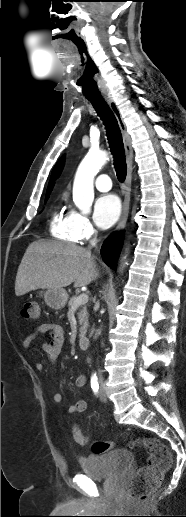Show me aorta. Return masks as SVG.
<instances>
[{
	"label": "aorta",
	"instance_id": "obj_1",
	"mask_svg": "<svg viewBox=\"0 0 186 517\" xmlns=\"http://www.w3.org/2000/svg\"><path fill=\"white\" fill-rule=\"evenodd\" d=\"M108 154L90 150L80 163L73 184V201L83 212H89L94 199V177L107 162Z\"/></svg>",
	"mask_w": 186,
	"mask_h": 517
}]
</instances>
